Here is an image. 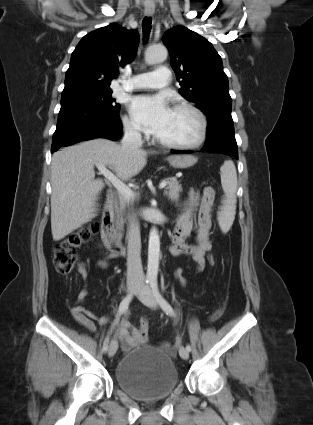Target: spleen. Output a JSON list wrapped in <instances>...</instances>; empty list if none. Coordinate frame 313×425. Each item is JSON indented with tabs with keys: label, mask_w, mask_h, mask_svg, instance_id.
<instances>
[{
	"label": "spleen",
	"mask_w": 313,
	"mask_h": 425,
	"mask_svg": "<svg viewBox=\"0 0 313 425\" xmlns=\"http://www.w3.org/2000/svg\"><path fill=\"white\" fill-rule=\"evenodd\" d=\"M221 184L225 194L223 207L218 212V223L223 233H227L235 219L237 172L233 161L226 160L220 168Z\"/></svg>",
	"instance_id": "1"
}]
</instances>
